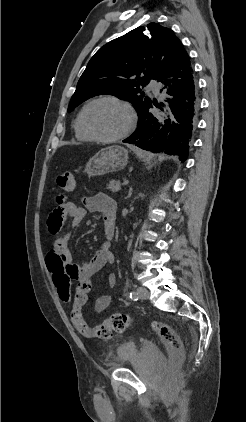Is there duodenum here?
<instances>
[{
	"mask_svg": "<svg viewBox=\"0 0 246 422\" xmlns=\"http://www.w3.org/2000/svg\"><path fill=\"white\" fill-rule=\"evenodd\" d=\"M113 234H114V228L111 227V226H108L107 227V236H108V238L109 239H112L113 238Z\"/></svg>",
	"mask_w": 246,
	"mask_h": 422,
	"instance_id": "duodenum-1",
	"label": "duodenum"
}]
</instances>
